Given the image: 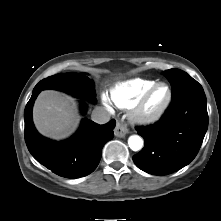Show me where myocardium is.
<instances>
[{
    "label": "myocardium",
    "mask_w": 221,
    "mask_h": 221,
    "mask_svg": "<svg viewBox=\"0 0 221 221\" xmlns=\"http://www.w3.org/2000/svg\"><path fill=\"white\" fill-rule=\"evenodd\" d=\"M160 86H165L167 88V98L159 109L154 112H149L146 109L147 103L154 91ZM172 98L173 92L170 85L166 82H156L140 97L137 103L132 107L131 117L136 123L141 125L153 124L160 120L166 113L172 102Z\"/></svg>",
    "instance_id": "f54148a6"
}]
</instances>
